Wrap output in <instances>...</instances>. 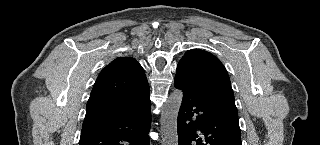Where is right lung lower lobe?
I'll return each instance as SVG.
<instances>
[{"label": "right lung lower lobe", "mask_w": 320, "mask_h": 145, "mask_svg": "<svg viewBox=\"0 0 320 145\" xmlns=\"http://www.w3.org/2000/svg\"><path fill=\"white\" fill-rule=\"evenodd\" d=\"M149 86L124 110L83 122L79 145H150Z\"/></svg>", "instance_id": "obj_1"}]
</instances>
